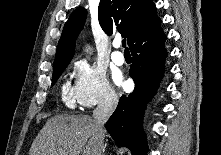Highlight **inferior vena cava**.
Listing matches in <instances>:
<instances>
[{
	"instance_id": "inferior-vena-cava-1",
	"label": "inferior vena cava",
	"mask_w": 221,
	"mask_h": 155,
	"mask_svg": "<svg viewBox=\"0 0 221 155\" xmlns=\"http://www.w3.org/2000/svg\"><path fill=\"white\" fill-rule=\"evenodd\" d=\"M118 103V97L114 91H108L98 106L93 111V119L97 128V137L99 145L98 155H103L104 150V124L107 122Z\"/></svg>"
}]
</instances>
